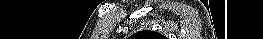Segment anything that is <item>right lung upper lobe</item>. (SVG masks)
Wrapping results in <instances>:
<instances>
[{
	"label": "right lung upper lobe",
	"mask_w": 263,
	"mask_h": 39,
	"mask_svg": "<svg viewBox=\"0 0 263 39\" xmlns=\"http://www.w3.org/2000/svg\"><path fill=\"white\" fill-rule=\"evenodd\" d=\"M146 33H148V35H151V36H156V37L159 36V33L153 32V31H146Z\"/></svg>",
	"instance_id": "obj_1"
}]
</instances>
